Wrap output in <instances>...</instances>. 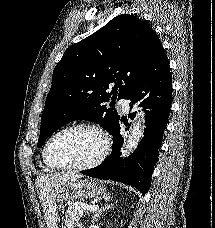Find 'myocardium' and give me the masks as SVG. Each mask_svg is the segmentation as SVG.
<instances>
[{
    "mask_svg": "<svg viewBox=\"0 0 215 228\" xmlns=\"http://www.w3.org/2000/svg\"><path fill=\"white\" fill-rule=\"evenodd\" d=\"M78 128L90 129V130H93L96 133H98V135L102 139V148H101V151L99 152V154L91 161L81 164V165H71V166L53 165L49 161V158H48V152H49V148H50L52 142L62 133L72 130V129H78ZM110 148H111L110 138L107 135V133L100 126L90 123V122H76V123H72L70 125H67V126L61 128L47 140V142L45 143L44 149H43L42 158H43L44 164L51 170L84 171V170H88V169H91V168H94V167L100 165L104 161L106 156L108 155Z\"/></svg>",
    "mask_w": 215,
    "mask_h": 228,
    "instance_id": "myocardium-1",
    "label": "myocardium"
}]
</instances>
